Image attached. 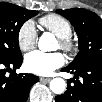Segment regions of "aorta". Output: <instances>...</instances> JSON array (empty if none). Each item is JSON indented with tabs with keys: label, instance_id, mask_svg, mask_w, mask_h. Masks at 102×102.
Instances as JSON below:
<instances>
[{
	"label": "aorta",
	"instance_id": "1",
	"mask_svg": "<svg viewBox=\"0 0 102 102\" xmlns=\"http://www.w3.org/2000/svg\"><path fill=\"white\" fill-rule=\"evenodd\" d=\"M56 39L51 33H44L38 40V47L41 51H53ZM66 83L62 78H54L50 82V89L55 94H62L65 91Z\"/></svg>",
	"mask_w": 102,
	"mask_h": 102
}]
</instances>
